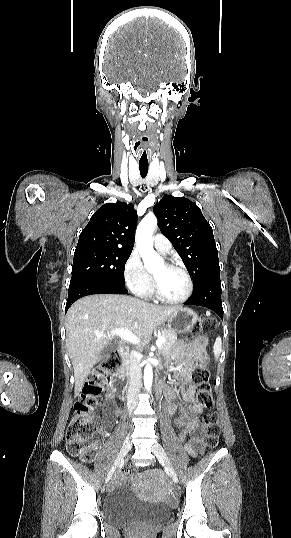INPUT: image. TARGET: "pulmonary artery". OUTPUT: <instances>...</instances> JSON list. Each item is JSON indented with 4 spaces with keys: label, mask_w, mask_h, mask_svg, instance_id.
<instances>
[{
    "label": "pulmonary artery",
    "mask_w": 291,
    "mask_h": 538,
    "mask_svg": "<svg viewBox=\"0 0 291 538\" xmlns=\"http://www.w3.org/2000/svg\"><path fill=\"white\" fill-rule=\"evenodd\" d=\"M153 245L163 255H168L172 249L170 241L162 234L155 235Z\"/></svg>",
    "instance_id": "pulmonary-artery-1"
}]
</instances>
